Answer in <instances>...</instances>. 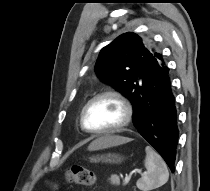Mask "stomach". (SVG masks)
<instances>
[{
  "label": "stomach",
  "mask_w": 210,
  "mask_h": 191,
  "mask_svg": "<svg viewBox=\"0 0 210 191\" xmlns=\"http://www.w3.org/2000/svg\"><path fill=\"white\" fill-rule=\"evenodd\" d=\"M91 162L97 163V162H103V163H109V164H118L123 161V157L119 154H104V155H97L90 158Z\"/></svg>",
  "instance_id": "stomach-1"
}]
</instances>
